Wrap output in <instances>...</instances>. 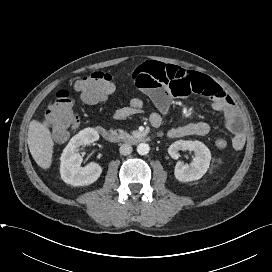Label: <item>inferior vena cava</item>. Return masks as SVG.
<instances>
[{
	"label": "inferior vena cava",
	"mask_w": 272,
	"mask_h": 272,
	"mask_svg": "<svg viewBox=\"0 0 272 272\" xmlns=\"http://www.w3.org/2000/svg\"><path fill=\"white\" fill-rule=\"evenodd\" d=\"M119 152L121 155H129L132 152V146L130 144H123L119 148Z\"/></svg>",
	"instance_id": "inferior-vena-cava-1"
}]
</instances>
